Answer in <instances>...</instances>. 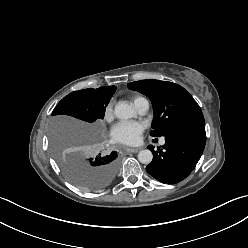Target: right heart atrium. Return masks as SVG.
I'll list each match as a JSON object with an SVG mask.
<instances>
[{"instance_id": "1", "label": "right heart atrium", "mask_w": 248, "mask_h": 248, "mask_svg": "<svg viewBox=\"0 0 248 248\" xmlns=\"http://www.w3.org/2000/svg\"><path fill=\"white\" fill-rule=\"evenodd\" d=\"M104 120L111 121L113 118V107L112 104L109 103L104 108V114H103Z\"/></svg>"}]
</instances>
